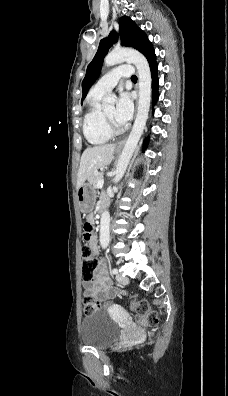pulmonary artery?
<instances>
[{
    "mask_svg": "<svg viewBox=\"0 0 228 396\" xmlns=\"http://www.w3.org/2000/svg\"><path fill=\"white\" fill-rule=\"evenodd\" d=\"M132 75V68L129 65H121L102 76L93 86L91 92L97 95H104L112 90L121 78H129Z\"/></svg>",
    "mask_w": 228,
    "mask_h": 396,
    "instance_id": "pulmonary-artery-1",
    "label": "pulmonary artery"
}]
</instances>
